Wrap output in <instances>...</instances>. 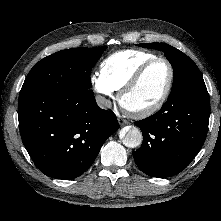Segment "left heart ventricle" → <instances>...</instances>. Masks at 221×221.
<instances>
[{
  "mask_svg": "<svg viewBox=\"0 0 221 221\" xmlns=\"http://www.w3.org/2000/svg\"><path fill=\"white\" fill-rule=\"evenodd\" d=\"M169 79V68L164 62L152 65L139 83L123 99L131 110L142 109L155 103L164 92Z\"/></svg>",
  "mask_w": 221,
  "mask_h": 221,
  "instance_id": "obj_1",
  "label": "left heart ventricle"
}]
</instances>
